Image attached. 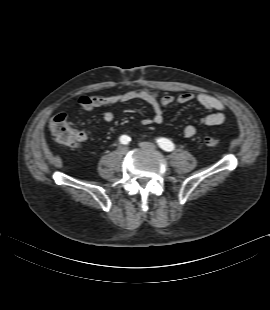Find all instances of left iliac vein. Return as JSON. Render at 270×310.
<instances>
[{
    "instance_id": "obj_1",
    "label": "left iliac vein",
    "mask_w": 270,
    "mask_h": 310,
    "mask_svg": "<svg viewBox=\"0 0 270 310\" xmlns=\"http://www.w3.org/2000/svg\"><path fill=\"white\" fill-rule=\"evenodd\" d=\"M139 146L143 149H150V150H154L156 148L155 144L151 142H140Z\"/></svg>"
}]
</instances>
